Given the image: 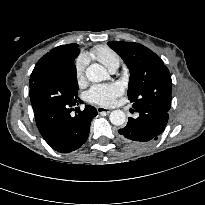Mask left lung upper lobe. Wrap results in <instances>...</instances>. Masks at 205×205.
<instances>
[{
    "label": "left lung upper lobe",
    "instance_id": "5c2ea615",
    "mask_svg": "<svg viewBox=\"0 0 205 205\" xmlns=\"http://www.w3.org/2000/svg\"><path fill=\"white\" fill-rule=\"evenodd\" d=\"M108 45L130 70L127 93L133 108H156L168 112L172 82L163 61L150 49L138 43L110 41Z\"/></svg>",
    "mask_w": 205,
    "mask_h": 205
}]
</instances>
